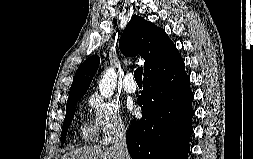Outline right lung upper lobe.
I'll use <instances>...</instances> for the list:
<instances>
[{
  "label": "right lung upper lobe",
  "mask_w": 253,
  "mask_h": 159,
  "mask_svg": "<svg viewBox=\"0 0 253 159\" xmlns=\"http://www.w3.org/2000/svg\"><path fill=\"white\" fill-rule=\"evenodd\" d=\"M119 48L125 56L140 55L145 59L144 78L166 74L183 63L173 42L165 31L134 15L123 31ZM97 55L84 61L75 73L68 101L82 98L98 69Z\"/></svg>",
  "instance_id": "1"
}]
</instances>
